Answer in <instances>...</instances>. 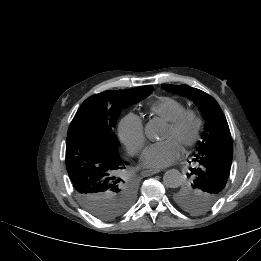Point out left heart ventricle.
I'll list each match as a JSON object with an SVG mask.
<instances>
[{
  "mask_svg": "<svg viewBox=\"0 0 261 261\" xmlns=\"http://www.w3.org/2000/svg\"><path fill=\"white\" fill-rule=\"evenodd\" d=\"M193 128L194 124L192 121L186 122V124L180 130H174L168 125L163 138L172 137L176 139L181 145H183V142L191 135Z\"/></svg>",
  "mask_w": 261,
  "mask_h": 261,
  "instance_id": "left-heart-ventricle-1",
  "label": "left heart ventricle"
}]
</instances>
